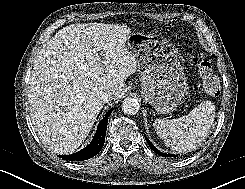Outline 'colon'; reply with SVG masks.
Wrapping results in <instances>:
<instances>
[{
    "instance_id": "colon-1",
    "label": "colon",
    "mask_w": 245,
    "mask_h": 189,
    "mask_svg": "<svg viewBox=\"0 0 245 189\" xmlns=\"http://www.w3.org/2000/svg\"><path fill=\"white\" fill-rule=\"evenodd\" d=\"M192 64L197 68L202 78L203 85L207 90L216 91L219 87V80L213 74L211 64L203 59L194 58Z\"/></svg>"
}]
</instances>
